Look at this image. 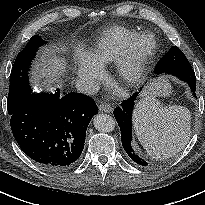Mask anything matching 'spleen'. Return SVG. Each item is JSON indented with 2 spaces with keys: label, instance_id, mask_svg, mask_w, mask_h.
<instances>
[{
  "label": "spleen",
  "instance_id": "obj_1",
  "mask_svg": "<svg viewBox=\"0 0 205 205\" xmlns=\"http://www.w3.org/2000/svg\"><path fill=\"white\" fill-rule=\"evenodd\" d=\"M138 105L133 114L135 133L147 153L165 160L180 152L189 142L191 115L182 106Z\"/></svg>",
  "mask_w": 205,
  "mask_h": 205
}]
</instances>
